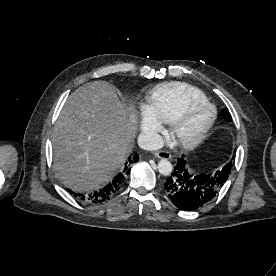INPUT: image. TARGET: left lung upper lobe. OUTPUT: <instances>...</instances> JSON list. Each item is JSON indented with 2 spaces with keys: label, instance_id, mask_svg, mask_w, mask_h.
I'll list each match as a JSON object with an SVG mask.
<instances>
[{
  "label": "left lung upper lobe",
  "instance_id": "obj_1",
  "mask_svg": "<svg viewBox=\"0 0 276 276\" xmlns=\"http://www.w3.org/2000/svg\"><path fill=\"white\" fill-rule=\"evenodd\" d=\"M223 116H224V119H225V120H231L230 115L228 114V112H227L226 110L223 111ZM225 166H226V167L229 166V168H232V163L229 162V163H227ZM221 170H222V169H221ZM218 171H220V170H218Z\"/></svg>",
  "mask_w": 276,
  "mask_h": 276
}]
</instances>
